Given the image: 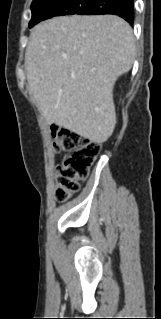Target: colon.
I'll return each instance as SVG.
<instances>
[{
	"label": "colon",
	"instance_id": "1",
	"mask_svg": "<svg viewBox=\"0 0 161 319\" xmlns=\"http://www.w3.org/2000/svg\"><path fill=\"white\" fill-rule=\"evenodd\" d=\"M51 135L54 148L66 153L57 167L55 193L56 199L64 202L79 190L81 182L88 177L90 166L98 156L100 145L58 126L52 127Z\"/></svg>",
	"mask_w": 161,
	"mask_h": 319
}]
</instances>
